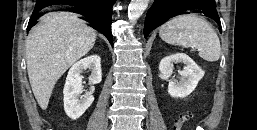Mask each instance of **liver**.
<instances>
[{"label":"liver","instance_id":"6515ba94","mask_svg":"<svg viewBox=\"0 0 257 130\" xmlns=\"http://www.w3.org/2000/svg\"><path fill=\"white\" fill-rule=\"evenodd\" d=\"M96 32L70 12H51L28 35L26 62L33 94L48 107L58 79L94 46Z\"/></svg>","mask_w":257,"mask_h":130}]
</instances>
